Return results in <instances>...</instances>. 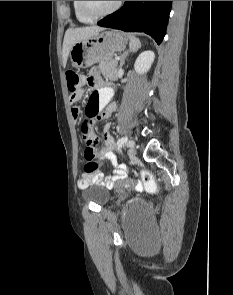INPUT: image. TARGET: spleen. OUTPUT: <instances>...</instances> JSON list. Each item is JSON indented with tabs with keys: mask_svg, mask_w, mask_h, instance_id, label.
Instances as JSON below:
<instances>
[{
	"mask_svg": "<svg viewBox=\"0 0 233 295\" xmlns=\"http://www.w3.org/2000/svg\"><path fill=\"white\" fill-rule=\"evenodd\" d=\"M129 40H130V43H129L130 49H133L134 51H136L138 50V48L141 47L140 40L136 38L135 36L129 35Z\"/></svg>",
	"mask_w": 233,
	"mask_h": 295,
	"instance_id": "1",
	"label": "spleen"
}]
</instances>
